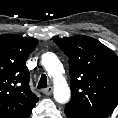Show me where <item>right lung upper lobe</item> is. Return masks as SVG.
I'll return each instance as SVG.
<instances>
[{"instance_id": "obj_1", "label": "right lung upper lobe", "mask_w": 118, "mask_h": 118, "mask_svg": "<svg viewBox=\"0 0 118 118\" xmlns=\"http://www.w3.org/2000/svg\"><path fill=\"white\" fill-rule=\"evenodd\" d=\"M37 44L32 37L0 36V118H28L38 102L30 89L25 65Z\"/></svg>"}]
</instances>
